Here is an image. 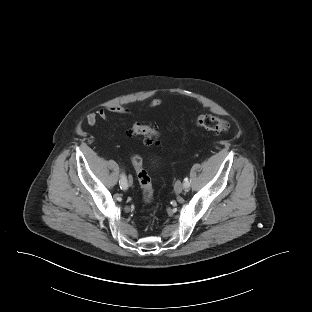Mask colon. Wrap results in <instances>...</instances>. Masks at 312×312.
I'll return each mask as SVG.
<instances>
[{
    "label": "colon",
    "instance_id": "obj_1",
    "mask_svg": "<svg viewBox=\"0 0 312 312\" xmlns=\"http://www.w3.org/2000/svg\"><path fill=\"white\" fill-rule=\"evenodd\" d=\"M198 127L215 133H225L229 130V122L213 115H205L196 120ZM130 134L144 137L147 143H152L159 136L158 131L146 124L135 123L130 129ZM132 163L136 171L137 179L142 190V197L146 203L153 200V186L151 178L144 169L142 159L135 155L132 157Z\"/></svg>",
    "mask_w": 312,
    "mask_h": 312
}]
</instances>
